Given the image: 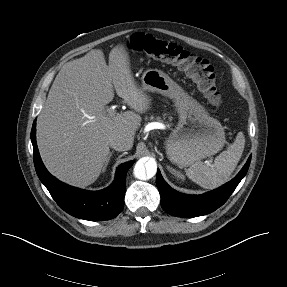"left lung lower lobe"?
I'll return each instance as SVG.
<instances>
[{
	"mask_svg": "<svg viewBox=\"0 0 287 287\" xmlns=\"http://www.w3.org/2000/svg\"><path fill=\"white\" fill-rule=\"evenodd\" d=\"M251 157L230 182L203 195H186L171 188L157 172L156 185L161 195V206L170 215L191 218L209 214L223 205L233 193L249 168Z\"/></svg>",
	"mask_w": 287,
	"mask_h": 287,
	"instance_id": "left-lung-lower-lobe-1",
	"label": "left lung lower lobe"
}]
</instances>
